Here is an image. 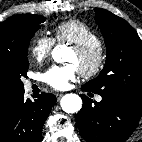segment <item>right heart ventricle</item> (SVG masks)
<instances>
[{"mask_svg":"<svg viewBox=\"0 0 142 142\" xmlns=\"http://www.w3.org/2000/svg\"><path fill=\"white\" fill-rule=\"evenodd\" d=\"M54 34L57 41L73 46L101 45L99 35L79 20H68L58 24L54 28Z\"/></svg>","mask_w":142,"mask_h":142,"instance_id":"obj_1","label":"right heart ventricle"}]
</instances>
